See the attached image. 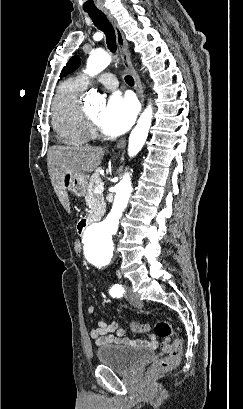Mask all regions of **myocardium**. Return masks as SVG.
<instances>
[{
    "label": "myocardium",
    "instance_id": "f54148a6",
    "mask_svg": "<svg viewBox=\"0 0 243 409\" xmlns=\"http://www.w3.org/2000/svg\"><path fill=\"white\" fill-rule=\"evenodd\" d=\"M84 116L89 130L96 132L97 123L95 122V120L89 115V113L86 110H84Z\"/></svg>",
    "mask_w": 243,
    "mask_h": 409
}]
</instances>
